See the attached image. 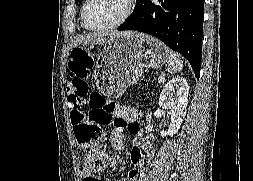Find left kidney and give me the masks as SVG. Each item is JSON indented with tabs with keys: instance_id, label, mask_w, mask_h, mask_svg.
<instances>
[{
	"instance_id": "1",
	"label": "left kidney",
	"mask_w": 253,
	"mask_h": 181,
	"mask_svg": "<svg viewBox=\"0 0 253 181\" xmlns=\"http://www.w3.org/2000/svg\"><path fill=\"white\" fill-rule=\"evenodd\" d=\"M188 94V83L180 76L172 78L163 88L159 97V105L165 110H170L171 122L167 131L160 132L162 137L173 136L180 129L186 115Z\"/></svg>"
}]
</instances>
